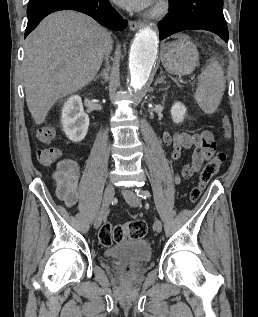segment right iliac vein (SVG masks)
Returning <instances> with one entry per match:
<instances>
[{
    "instance_id": "63e3f726",
    "label": "right iliac vein",
    "mask_w": 258,
    "mask_h": 317,
    "mask_svg": "<svg viewBox=\"0 0 258 317\" xmlns=\"http://www.w3.org/2000/svg\"><path fill=\"white\" fill-rule=\"evenodd\" d=\"M114 195H115L114 185L113 184L107 185V187H105L103 192V199H102L100 210L94 218L95 227L101 226V223L103 222V216L106 213V210L109 209L111 200L113 199Z\"/></svg>"
}]
</instances>
